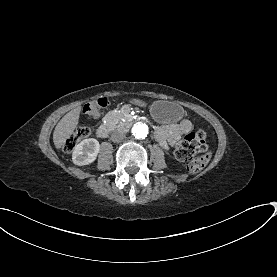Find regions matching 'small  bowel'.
Returning <instances> with one entry per match:
<instances>
[{"label": "small bowel", "mask_w": 277, "mask_h": 277, "mask_svg": "<svg viewBox=\"0 0 277 277\" xmlns=\"http://www.w3.org/2000/svg\"><path fill=\"white\" fill-rule=\"evenodd\" d=\"M192 128L191 121L184 119L176 123L158 127L155 132V138L163 149L170 150Z\"/></svg>", "instance_id": "obj_1"}]
</instances>
